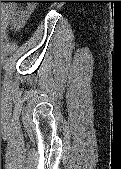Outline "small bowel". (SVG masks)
<instances>
[{"instance_id":"1","label":"small bowel","mask_w":121,"mask_h":169,"mask_svg":"<svg viewBox=\"0 0 121 169\" xmlns=\"http://www.w3.org/2000/svg\"><path fill=\"white\" fill-rule=\"evenodd\" d=\"M32 11H33V9L30 8V7H27V8L22 9V10L11 11L8 14V20H9L10 24L16 30H20L24 26L26 20L32 14Z\"/></svg>"}]
</instances>
